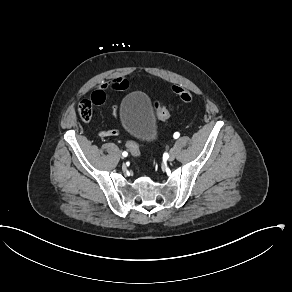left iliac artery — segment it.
<instances>
[{
    "mask_svg": "<svg viewBox=\"0 0 292 292\" xmlns=\"http://www.w3.org/2000/svg\"><path fill=\"white\" fill-rule=\"evenodd\" d=\"M178 137H179V133L176 132V133L174 134V138H178Z\"/></svg>",
    "mask_w": 292,
    "mask_h": 292,
    "instance_id": "1",
    "label": "left iliac artery"
}]
</instances>
